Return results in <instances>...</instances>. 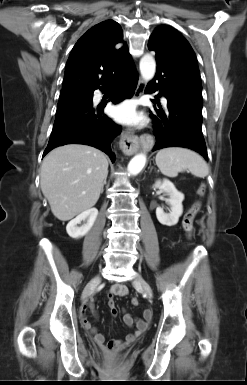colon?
Masks as SVG:
<instances>
[{"instance_id": "obj_1", "label": "colon", "mask_w": 247, "mask_h": 385, "mask_svg": "<svg viewBox=\"0 0 247 385\" xmlns=\"http://www.w3.org/2000/svg\"><path fill=\"white\" fill-rule=\"evenodd\" d=\"M205 192V187L204 186H201L198 193L200 196H203ZM200 208H201V202L200 201H197L195 202L189 209L188 211L185 213L184 217H183V221H182V227L184 229V231L186 232V234L188 236H191L192 233H193V229H194V220H195V217L197 216L198 212L200 211ZM132 304L134 306H137L139 304V301L138 299L134 298L132 300ZM108 348L110 350L114 349V347L112 345H109Z\"/></svg>"}]
</instances>
